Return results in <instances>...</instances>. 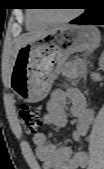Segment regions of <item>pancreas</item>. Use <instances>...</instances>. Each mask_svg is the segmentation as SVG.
Listing matches in <instances>:
<instances>
[{
    "instance_id": "cf45deb5",
    "label": "pancreas",
    "mask_w": 104,
    "mask_h": 169,
    "mask_svg": "<svg viewBox=\"0 0 104 169\" xmlns=\"http://www.w3.org/2000/svg\"><path fill=\"white\" fill-rule=\"evenodd\" d=\"M86 61L82 59H75L64 64L63 74L69 80L82 77L86 74Z\"/></svg>"
}]
</instances>
